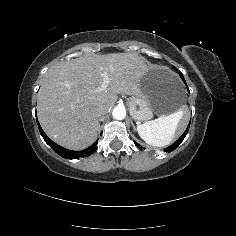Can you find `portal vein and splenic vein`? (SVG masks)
Instances as JSON below:
<instances>
[{
    "instance_id": "18ae733b",
    "label": "portal vein and splenic vein",
    "mask_w": 236,
    "mask_h": 236,
    "mask_svg": "<svg viewBox=\"0 0 236 236\" xmlns=\"http://www.w3.org/2000/svg\"><path fill=\"white\" fill-rule=\"evenodd\" d=\"M101 75L103 77V82H102V84L99 87H95L93 89L94 93H101V92L106 91V89H107V87L109 85L110 78L108 76V72L107 71H102Z\"/></svg>"
}]
</instances>
